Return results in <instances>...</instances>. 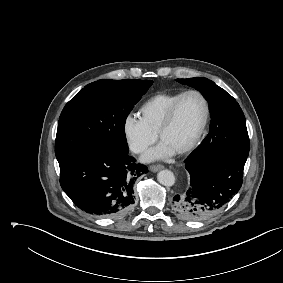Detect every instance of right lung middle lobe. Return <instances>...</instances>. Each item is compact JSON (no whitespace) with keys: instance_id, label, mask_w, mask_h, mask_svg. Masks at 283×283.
<instances>
[{"instance_id":"dd1d6c3e","label":"right lung middle lobe","mask_w":283,"mask_h":283,"mask_svg":"<svg viewBox=\"0 0 283 283\" xmlns=\"http://www.w3.org/2000/svg\"><path fill=\"white\" fill-rule=\"evenodd\" d=\"M151 80L102 79L85 86L64 107L55 141L59 161L81 149L106 146L129 152L125 121Z\"/></svg>"}]
</instances>
